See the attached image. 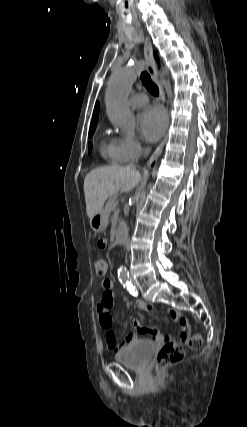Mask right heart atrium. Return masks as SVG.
Listing matches in <instances>:
<instances>
[{
  "label": "right heart atrium",
  "mask_w": 247,
  "mask_h": 427,
  "mask_svg": "<svg viewBox=\"0 0 247 427\" xmlns=\"http://www.w3.org/2000/svg\"><path fill=\"white\" fill-rule=\"evenodd\" d=\"M118 141L120 144L123 161L136 159L144 149L141 141L133 137H122Z\"/></svg>",
  "instance_id": "right-heart-atrium-1"
}]
</instances>
